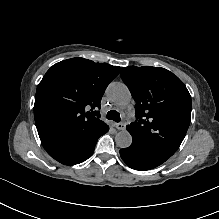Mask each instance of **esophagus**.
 Listing matches in <instances>:
<instances>
[{
	"instance_id": "1",
	"label": "esophagus",
	"mask_w": 219,
	"mask_h": 219,
	"mask_svg": "<svg viewBox=\"0 0 219 219\" xmlns=\"http://www.w3.org/2000/svg\"><path fill=\"white\" fill-rule=\"evenodd\" d=\"M115 128L118 130H124L126 128V122H121V123L115 124Z\"/></svg>"
}]
</instances>
